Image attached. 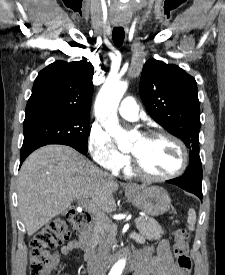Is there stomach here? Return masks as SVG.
<instances>
[{
	"label": "stomach",
	"mask_w": 225,
	"mask_h": 275,
	"mask_svg": "<svg viewBox=\"0 0 225 275\" xmlns=\"http://www.w3.org/2000/svg\"><path fill=\"white\" fill-rule=\"evenodd\" d=\"M126 195L134 206L152 217L163 215L171 206L168 193L160 186L135 187L126 190Z\"/></svg>",
	"instance_id": "0dacf381"
}]
</instances>
